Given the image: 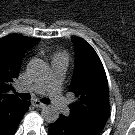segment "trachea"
I'll use <instances>...</instances> for the list:
<instances>
[{"label":"trachea","instance_id":"trachea-1","mask_svg":"<svg viewBox=\"0 0 135 135\" xmlns=\"http://www.w3.org/2000/svg\"><path fill=\"white\" fill-rule=\"evenodd\" d=\"M15 94L17 96L21 97V99H23V100H29L31 98L30 94H28V93H15ZM41 101L45 104L50 103V99H48V98H43Z\"/></svg>","mask_w":135,"mask_h":135}]
</instances>
